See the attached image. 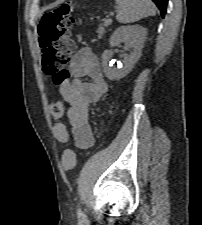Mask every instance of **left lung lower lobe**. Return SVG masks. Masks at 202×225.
Listing matches in <instances>:
<instances>
[{
    "instance_id": "0a47b994",
    "label": "left lung lower lobe",
    "mask_w": 202,
    "mask_h": 225,
    "mask_svg": "<svg viewBox=\"0 0 202 225\" xmlns=\"http://www.w3.org/2000/svg\"><path fill=\"white\" fill-rule=\"evenodd\" d=\"M152 1L160 9L161 15H162V17H164L165 12H166V7H167L168 0H152Z\"/></svg>"
}]
</instances>
